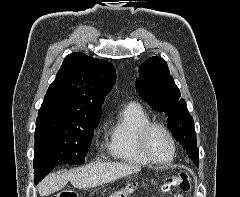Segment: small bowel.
Returning a JSON list of instances; mask_svg holds the SVG:
<instances>
[{
    "mask_svg": "<svg viewBox=\"0 0 240 197\" xmlns=\"http://www.w3.org/2000/svg\"><path fill=\"white\" fill-rule=\"evenodd\" d=\"M175 197H183L182 195H177V196H175Z\"/></svg>",
    "mask_w": 240,
    "mask_h": 197,
    "instance_id": "c3829d8e",
    "label": "small bowel"
}]
</instances>
